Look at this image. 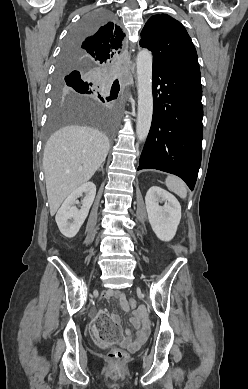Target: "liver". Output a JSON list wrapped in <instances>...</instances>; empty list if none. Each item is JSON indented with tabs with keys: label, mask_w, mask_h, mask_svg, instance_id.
Here are the masks:
<instances>
[{
	"label": "liver",
	"mask_w": 248,
	"mask_h": 389,
	"mask_svg": "<svg viewBox=\"0 0 248 389\" xmlns=\"http://www.w3.org/2000/svg\"><path fill=\"white\" fill-rule=\"evenodd\" d=\"M109 148L108 137L91 127L67 126L51 135L43 154L51 215L74 190L91 179Z\"/></svg>",
	"instance_id": "6515ba94"
}]
</instances>
